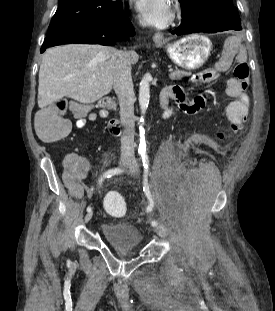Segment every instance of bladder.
Wrapping results in <instances>:
<instances>
[{"label": "bladder", "mask_w": 275, "mask_h": 311, "mask_svg": "<svg viewBox=\"0 0 275 311\" xmlns=\"http://www.w3.org/2000/svg\"><path fill=\"white\" fill-rule=\"evenodd\" d=\"M100 231L108 244L116 249H132L141 242L140 230L128 221L104 222Z\"/></svg>", "instance_id": "1"}]
</instances>
